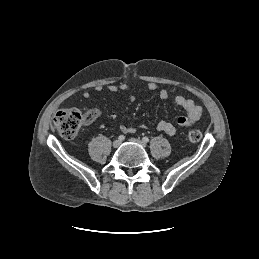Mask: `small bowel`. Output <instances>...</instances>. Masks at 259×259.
Returning <instances> with one entry per match:
<instances>
[{
	"label": "small bowel",
	"instance_id": "obj_1",
	"mask_svg": "<svg viewBox=\"0 0 259 259\" xmlns=\"http://www.w3.org/2000/svg\"><path fill=\"white\" fill-rule=\"evenodd\" d=\"M147 90L150 92H154L158 89V85L155 82H150L147 85ZM104 89L109 90L110 92L114 93H120V92H127L129 91V86L125 83H120L118 85L114 84H108V85H97L95 87L96 91H102ZM83 97L85 99H88L91 97V93L88 90H85L83 92ZM169 92L167 90H160L159 91V97L163 100H166L169 98ZM130 102H133L135 100V97L133 95L129 96ZM175 103L179 107L183 108L186 111L185 116H180L176 120V125L168 122V121H159L155 129L157 131L163 132L167 135H174L176 133V127L180 128H186L193 124H195L202 115V108L197 105L192 99L186 98L183 95H177L175 97ZM98 116L97 111L92 112V118H96ZM141 128H147L146 125L142 124L140 125ZM120 131L125 134H132L136 132V129L131 126L122 125L120 126Z\"/></svg>",
	"mask_w": 259,
	"mask_h": 259
}]
</instances>
